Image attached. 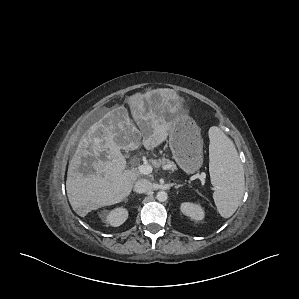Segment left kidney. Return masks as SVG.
Returning a JSON list of instances; mask_svg holds the SVG:
<instances>
[{
  "instance_id": "1",
  "label": "left kidney",
  "mask_w": 299,
  "mask_h": 299,
  "mask_svg": "<svg viewBox=\"0 0 299 299\" xmlns=\"http://www.w3.org/2000/svg\"><path fill=\"white\" fill-rule=\"evenodd\" d=\"M181 211L184 215L194 219L202 220L204 218V210L199 204L184 202L181 204Z\"/></svg>"
}]
</instances>
